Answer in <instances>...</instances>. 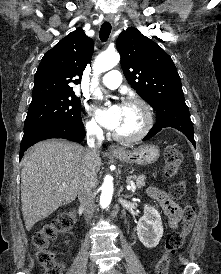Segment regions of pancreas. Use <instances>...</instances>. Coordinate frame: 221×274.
<instances>
[{"instance_id": "cf45deb5", "label": "pancreas", "mask_w": 221, "mask_h": 274, "mask_svg": "<svg viewBox=\"0 0 221 274\" xmlns=\"http://www.w3.org/2000/svg\"><path fill=\"white\" fill-rule=\"evenodd\" d=\"M131 179H133L134 181H135V186L138 188V189H140V188H142L143 186H145L146 184H145V180H146V177H145V175H139L138 177H130L129 179H128V182H130L131 181Z\"/></svg>"}]
</instances>
